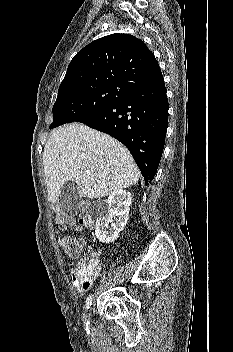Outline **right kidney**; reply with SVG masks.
Returning <instances> with one entry per match:
<instances>
[{
    "mask_svg": "<svg viewBox=\"0 0 233 352\" xmlns=\"http://www.w3.org/2000/svg\"><path fill=\"white\" fill-rule=\"evenodd\" d=\"M131 201V193L125 190L116 191L108 197V211L96 220L95 235L100 242L111 243L118 237L127 224Z\"/></svg>",
    "mask_w": 233,
    "mask_h": 352,
    "instance_id": "ca27d5eb",
    "label": "right kidney"
}]
</instances>
